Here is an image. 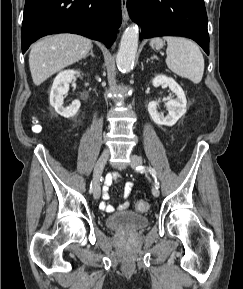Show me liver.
Masks as SVG:
<instances>
[{
    "label": "liver",
    "instance_id": "1",
    "mask_svg": "<svg viewBox=\"0 0 243 289\" xmlns=\"http://www.w3.org/2000/svg\"><path fill=\"white\" fill-rule=\"evenodd\" d=\"M92 47L90 39L67 33L36 42L29 54L33 83L39 86L53 74L84 58Z\"/></svg>",
    "mask_w": 243,
    "mask_h": 289
}]
</instances>
